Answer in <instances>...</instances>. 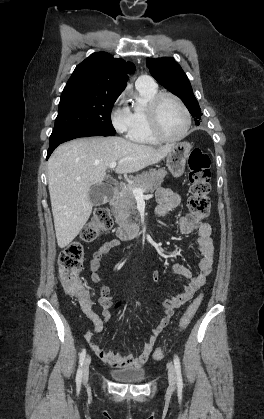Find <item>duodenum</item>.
Here are the masks:
<instances>
[{"label":"duodenum","mask_w":264,"mask_h":419,"mask_svg":"<svg viewBox=\"0 0 264 419\" xmlns=\"http://www.w3.org/2000/svg\"><path fill=\"white\" fill-rule=\"evenodd\" d=\"M119 198V190L114 188L109 197L110 203L115 202ZM141 234V226L138 223L122 224L116 230V235L121 240L132 239Z\"/></svg>","instance_id":"obj_1"}]
</instances>
